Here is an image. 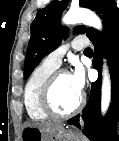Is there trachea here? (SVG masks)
I'll return each mask as SVG.
<instances>
[{
	"label": "trachea",
	"mask_w": 119,
	"mask_h": 141,
	"mask_svg": "<svg viewBox=\"0 0 119 141\" xmlns=\"http://www.w3.org/2000/svg\"><path fill=\"white\" fill-rule=\"evenodd\" d=\"M84 52L91 53V52H92V49L88 47V48H86V49L84 50Z\"/></svg>",
	"instance_id": "3493384b"
}]
</instances>
